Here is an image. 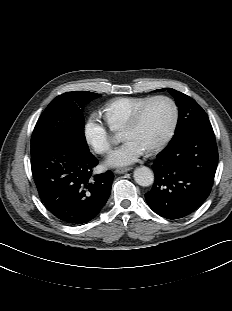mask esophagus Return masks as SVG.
Returning a JSON list of instances; mask_svg holds the SVG:
<instances>
[{
  "mask_svg": "<svg viewBox=\"0 0 232 311\" xmlns=\"http://www.w3.org/2000/svg\"><path fill=\"white\" fill-rule=\"evenodd\" d=\"M131 169H132L131 167L117 168L115 172L118 174H123V173L130 171Z\"/></svg>",
  "mask_w": 232,
  "mask_h": 311,
  "instance_id": "34e87169",
  "label": "esophagus"
}]
</instances>
